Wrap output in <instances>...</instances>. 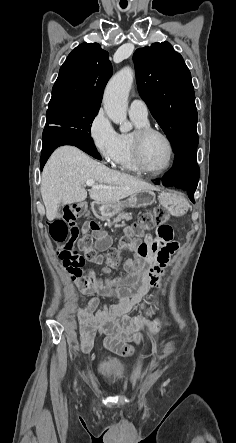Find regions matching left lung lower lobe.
Returning <instances> with one entry per match:
<instances>
[{"mask_svg": "<svg viewBox=\"0 0 236 443\" xmlns=\"http://www.w3.org/2000/svg\"><path fill=\"white\" fill-rule=\"evenodd\" d=\"M198 141H191L175 152L173 167L161 179L164 186H174L187 191L193 203H195L193 196L200 172L196 161ZM155 184H159V182Z\"/></svg>", "mask_w": 236, "mask_h": 443, "instance_id": "1", "label": "left lung lower lobe"}]
</instances>
